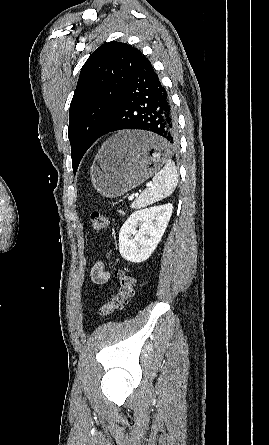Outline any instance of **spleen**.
<instances>
[{
	"label": "spleen",
	"mask_w": 269,
	"mask_h": 445,
	"mask_svg": "<svg viewBox=\"0 0 269 445\" xmlns=\"http://www.w3.org/2000/svg\"><path fill=\"white\" fill-rule=\"evenodd\" d=\"M177 183V168L171 159H166L165 166L154 175L152 183L132 203V208H143L170 196Z\"/></svg>",
	"instance_id": "spleen-1"
}]
</instances>
